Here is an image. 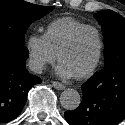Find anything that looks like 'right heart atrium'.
Here are the masks:
<instances>
[{
	"label": "right heart atrium",
	"mask_w": 125,
	"mask_h": 125,
	"mask_svg": "<svg viewBox=\"0 0 125 125\" xmlns=\"http://www.w3.org/2000/svg\"><path fill=\"white\" fill-rule=\"evenodd\" d=\"M25 49L28 55L30 68L40 73L44 68L56 60L57 55L49 47L45 35L39 33L30 34L25 41Z\"/></svg>",
	"instance_id": "obj_1"
}]
</instances>
